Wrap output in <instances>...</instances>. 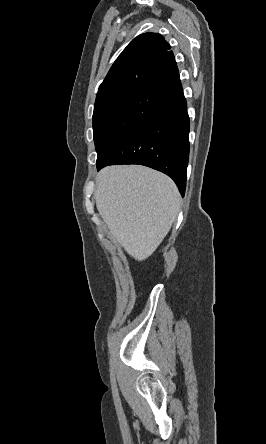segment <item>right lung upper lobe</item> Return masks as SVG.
<instances>
[{"label":"right lung upper lobe","mask_w":266,"mask_h":444,"mask_svg":"<svg viewBox=\"0 0 266 444\" xmlns=\"http://www.w3.org/2000/svg\"><path fill=\"white\" fill-rule=\"evenodd\" d=\"M170 49L158 33L148 32L134 38L99 86L95 106L133 92L154 95L164 103L183 94Z\"/></svg>","instance_id":"1"}]
</instances>
